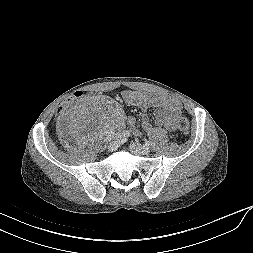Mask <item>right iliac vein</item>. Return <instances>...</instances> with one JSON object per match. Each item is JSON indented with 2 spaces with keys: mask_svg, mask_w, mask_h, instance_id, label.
<instances>
[{
  "mask_svg": "<svg viewBox=\"0 0 253 253\" xmlns=\"http://www.w3.org/2000/svg\"><path fill=\"white\" fill-rule=\"evenodd\" d=\"M119 144H120V139H115V140H113V141H111L110 143H109V145H108V150L109 151H114V150H116L117 148H118V146H119Z\"/></svg>",
  "mask_w": 253,
  "mask_h": 253,
  "instance_id": "63e3f726",
  "label": "right iliac vein"
}]
</instances>
